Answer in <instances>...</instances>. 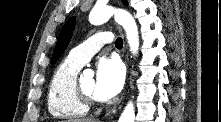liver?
Segmentation results:
<instances>
[{
  "instance_id": "liver-1",
  "label": "liver",
  "mask_w": 221,
  "mask_h": 122,
  "mask_svg": "<svg viewBox=\"0 0 221 122\" xmlns=\"http://www.w3.org/2000/svg\"><path fill=\"white\" fill-rule=\"evenodd\" d=\"M67 122H99L98 120H93L90 118H86V119H75V120H69Z\"/></svg>"
}]
</instances>
